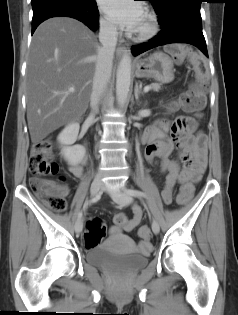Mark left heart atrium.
Here are the masks:
<instances>
[{
    "instance_id": "1",
    "label": "left heart atrium",
    "mask_w": 238,
    "mask_h": 315,
    "mask_svg": "<svg viewBox=\"0 0 238 315\" xmlns=\"http://www.w3.org/2000/svg\"><path fill=\"white\" fill-rule=\"evenodd\" d=\"M101 10L117 25L136 31L144 13L136 0H99Z\"/></svg>"
}]
</instances>
